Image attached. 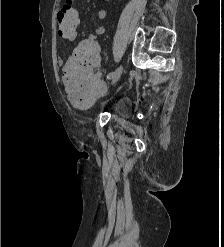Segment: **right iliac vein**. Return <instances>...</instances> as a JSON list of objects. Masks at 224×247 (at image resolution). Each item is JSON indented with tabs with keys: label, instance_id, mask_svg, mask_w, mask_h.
<instances>
[{
	"label": "right iliac vein",
	"instance_id": "1",
	"mask_svg": "<svg viewBox=\"0 0 224 247\" xmlns=\"http://www.w3.org/2000/svg\"><path fill=\"white\" fill-rule=\"evenodd\" d=\"M122 71H123L122 66H120L119 68H117V69L114 71V74H113V76L111 77V83H112V84L116 83V82L119 80V78H120V76H121V74H122Z\"/></svg>",
	"mask_w": 224,
	"mask_h": 247
}]
</instances>
